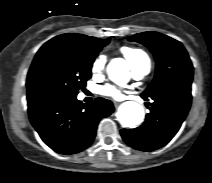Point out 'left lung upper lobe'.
Returning a JSON list of instances; mask_svg holds the SVG:
<instances>
[{
	"mask_svg": "<svg viewBox=\"0 0 212 183\" xmlns=\"http://www.w3.org/2000/svg\"><path fill=\"white\" fill-rule=\"evenodd\" d=\"M128 40L145 45L156 59L155 77L142 95L149 97L166 89L191 86L193 66L179 41L153 31L135 34Z\"/></svg>",
	"mask_w": 212,
	"mask_h": 183,
	"instance_id": "obj_1",
	"label": "left lung upper lobe"
}]
</instances>
